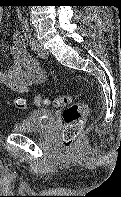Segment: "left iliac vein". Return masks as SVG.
<instances>
[{
	"instance_id": "left-iliac-vein-1",
	"label": "left iliac vein",
	"mask_w": 121,
	"mask_h": 197,
	"mask_svg": "<svg viewBox=\"0 0 121 197\" xmlns=\"http://www.w3.org/2000/svg\"><path fill=\"white\" fill-rule=\"evenodd\" d=\"M37 55L42 58L46 59L49 56L48 51L36 41V49H35Z\"/></svg>"
}]
</instances>
